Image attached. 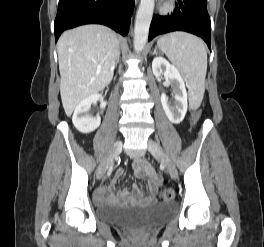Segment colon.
Here are the masks:
<instances>
[{"instance_id":"5ec220e1","label":"colon","mask_w":264,"mask_h":247,"mask_svg":"<svg viewBox=\"0 0 264 247\" xmlns=\"http://www.w3.org/2000/svg\"><path fill=\"white\" fill-rule=\"evenodd\" d=\"M201 116V111L200 110H196L193 114V122H196ZM158 198L161 201H171L175 198V191L173 189L167 188V189H163L159 194H158Z\"/></svg>"}]
</instances>
